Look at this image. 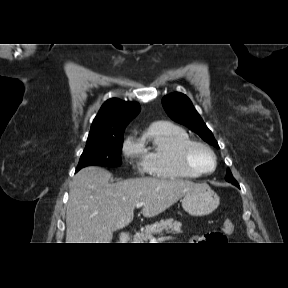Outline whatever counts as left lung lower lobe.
I'll use <instances>...</instances> for the list:
<instances>
[{
  "label": "left lung lower lobe",
  "instance_id": "0a47b994",
  "mask_svg": "<svg viewBox=\"0 0 288 288\" xmlns=\"http://www.w3.org/2000/svg\"><path fill=\"white\" fill-rule=\"evenodd\" d=\"M233 185L239 187L238 183L236 181L232 182Z\"/></svg>",
  "mask_w": 288,
  "mask_h": 288
}]
</instances>
